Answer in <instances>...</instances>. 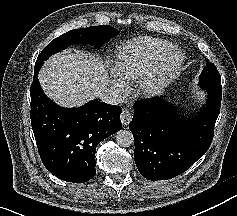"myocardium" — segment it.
<instances>
[{"label":"myocardium","instance_id":"obj_1","mask_svg":"<svg viewBox=\"0 0 237 216\" xmlns=\"http://www.w3.org/2000/svg\"><path fill=\"white\" fill-rule=\"evenodd\" d=\"M171 50H174L177 54V65L176 69L173 73L168 74L166 76L159 77V70L162 67V63L165 59L167 53ZM185 62V53L181 46L174 43H169L165 46L160 54L158 55L156 63L147 70L139 83L133 90V96H146V97H154L161 93L165 88L174 84L179 78L182 68Z\"/></svg>","mask_w":237,"mask_h":216}]
</instances>
